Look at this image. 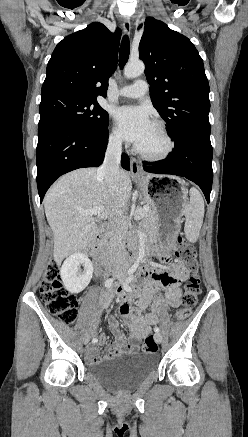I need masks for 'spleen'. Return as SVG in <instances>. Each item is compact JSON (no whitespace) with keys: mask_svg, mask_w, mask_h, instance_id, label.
<instances>
[{"mask_svg":"<svg viewBox=\"0 0 248 437\" xmlns=\"http://www.w3.org/2000/svg\"><path fill=\"white\" fill-rule=\"evenodd\" d=\"M190 201L185 208L184 233L190 242H196L199 237L204 218V201L196 188L190 189Z\"/></svg>","mask_w":248,"mask_h":437,"instance_id":"1","label":"spleen"}]
</instances>
